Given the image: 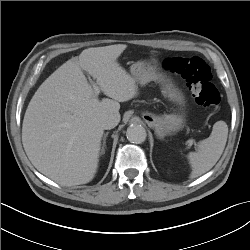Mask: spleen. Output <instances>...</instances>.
Wrapping results in <instances>:
<instances>
[{"mask_svg":"<svg viewBox=\"0 0 250 250\" xmlns=\"http://www.w3.org/2000/svg\"><path fill=\"white\" fill-rule=\"evenodd\" d=\"M228 136V126L224 121H217L213 125L210 136L198 143L196 152L188 154L192 168L191 178H197L209 171L221 157Z\"/></svg>","mask_w":250,"mask_h":250,"instance_id":"spleen-1","label":"spleen"}]
</instances>
